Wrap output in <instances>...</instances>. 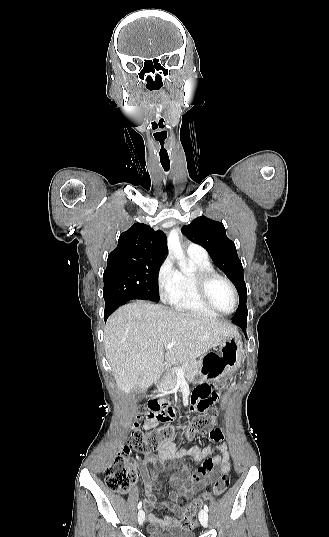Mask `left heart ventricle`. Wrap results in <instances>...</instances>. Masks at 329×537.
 <instances>
[{
    "label": "left heart ventricle",
    "instance_id": "b2bd125f",
    "mask_svg": "<svg viewBox=\"0 0 329 537\" xmlns=\"http://www.w3.org/2000/svg\"><path fill=\"white\" fill-rule=\"evenodd\" d=\"M209 296L212 303L223 312H230L234 307V296L226 283L213 281L209 286Z\"/></svg>",
    "mask_w": 329,
    "mask_h": 537
}]
</instances>
